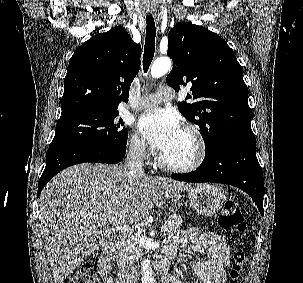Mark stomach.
<instances>
[{"label": "stomach", "mask_w": 303, "mask_h": 283, "mask_svg": "<svg viewBox=\"0 0 303 283\" xmlns=\"http://www.w3.org/2000/svg\"><path fill=\"white\" fill-rule=\"evenodd\" d=\"M184 190L188 192L189 206L202 216L214 215L227 200L225 192L215 185L201 184Z\"/></svg>", "instance_id": "stomach-1"}]
</instances>
